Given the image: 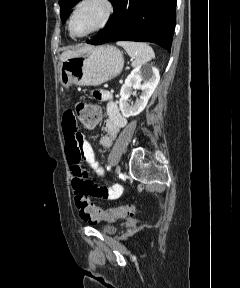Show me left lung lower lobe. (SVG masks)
I'll return each mask as SVG.
<instances>
[{"mask_svg": "<svg viewBox=\"0 0 240 288\" xmlns=\"http://www.w3.org/2000/svg\"><path fill=\"white\" fill-rule=\"evenodd\" d=\"M107 26L88 44L128 40L156 43L171 50L176 23V0H113Z\"/></svg>", "mask_w": 240, "mask_h": 288, "instance_id": "0a47b994", "label": "left lung lower lobe"}]
</instances>
